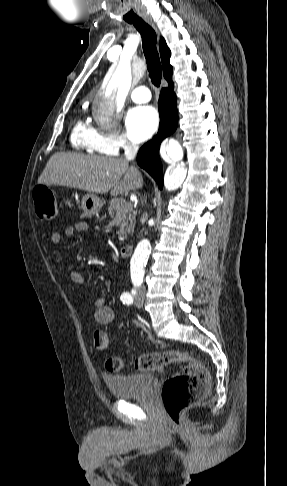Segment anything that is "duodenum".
<instances>
[{
  "mask_svg": "<svg viewBox=\"0 0 287 486\" xmlns=\"http://www.w3.org/2000/svg\"><path fill=\"white\" fill-rule=\"evenodd\" d=\"M132 252V245L127 243L120 247L119 254L121 257H128Z\"/></svg>",
  "mask_w": 287,
  "mask_h": 486,
  "instance_id": "1",
  "label": "duodenum"
}]
</instances>
